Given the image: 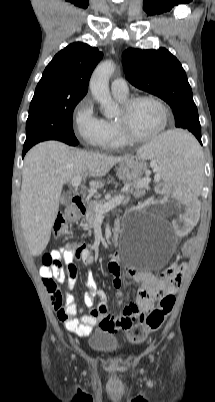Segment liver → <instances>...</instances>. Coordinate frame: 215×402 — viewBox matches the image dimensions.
I'll use <instances>...</instances> for the list:
<instances>
[{
	"mask_svg": "<svg viewBox=\"0 0 215 402\" xmlns=\"http://www.w3.org/2000/svg\"><path fill=\"white\" fill-rule=\"evenodd\" d=\"M125 157L73 150L58 141L39 143L27 152L22 172L20 217L33 256L42 254L48 245L63 185L84 173L93 178L103 177ZM89 185L97 189L104 183L91 180Z\"/></svg>",
	"mask_w": 215,
	"mask_h": 402,
	"instance_id": "6515ba94",
	"label": "liver"
}]
</instances>
